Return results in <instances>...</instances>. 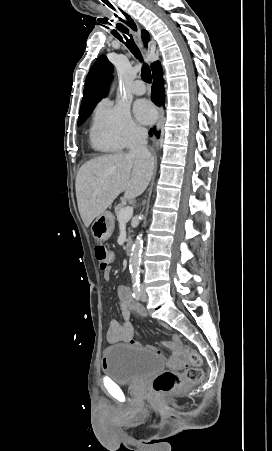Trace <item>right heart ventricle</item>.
Here are the masks:
<instances>
[{"instance_id": "e07e8e85", "label": "right heart ventricle", "mask_w": 272, "mask_h": 451, "mask_svg": "<svg viewBox=\"0 0 272 451\" xmlns=\"http://www.w3.org/2000/svg\"><path fill=\"white\" fill-rule=\"evenodd\" d=\"M94 142H95V144H96L98 147H100V148H102V149H104V150H112V149L114 148V147L111 146V145L101 144V143L96 142L95 140H94Z\"/></svg>"}]
</instances>
